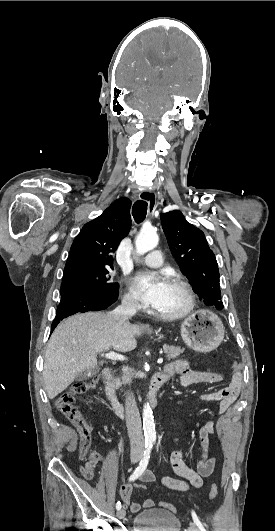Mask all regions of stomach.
<instances>
[{
	"instance_id": "stomach-1",
	"label": "stomach",
	"mask_w": 275,
	"mask_h": 531,
	"mask_svg": "<svg viewBox=\"0 0 275 531\" xmlns=\"http://www.w3.org/2000/svg\"><path fill=\"white\" fill-rule=\"evenodd\" d=\"M181 337L187 347L199 353H210L219 347L225 335V327L217 315L200 309L184 319L180 327Z\"/></svg>"
}]
</instances>
